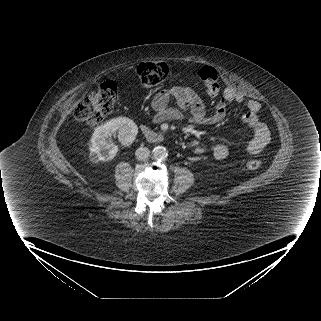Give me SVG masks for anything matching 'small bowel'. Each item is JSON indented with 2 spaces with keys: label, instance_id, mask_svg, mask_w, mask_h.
Wrapping results in <instances>:
<instances>
[{
  "label": "small bowel",
  "instance_id": "1",
  "mask_svg": "<svg viewBox=\"0 0 321 321\" xmlns=\"http://www.w3.org/2000/svg\"><path fill=\"white\" fill-rule=\"evenodd\" d=\"M174 101L177 107L169 104ZM228 104H244L246 109L241 119L252 132V139L246 144L245 152L251 155L260 153L270 141V131L259 117L261 105L258 101L248 98L244 93L229 88L224 97L212 110L204 104L202 98L195 90L184 86H173L159 92L153 99V121L156 123L182 120L183 111H188L191 122L202 125H216L227 116ZM204 148H197L195 152L201 154ZM230 149L226 143H217L213 147V156L216 160H224L229 155Z\"/></svg>",
  "mask_w": 321,
  "mask_h": 321
}]
</instances>
